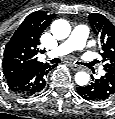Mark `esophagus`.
Segmentation results:
<instances>
[{
    "mask_svg": "<svg viewBox=\"0 0 115 119\" xmlns=\"http://www.w3.org/2000/svg\"><path fill=\"white\" fill-rule=\"evenodd\" d=\"M69 65H70L71 69H73V70H81L82 69V66H80L76 63H73V62H70Z\"/></svg>",
    "mask_w": 115,
    "mask_h": 119,
    "instance_id": "esophagus-1",
    "label": "esophagus"
}]
</instances>
